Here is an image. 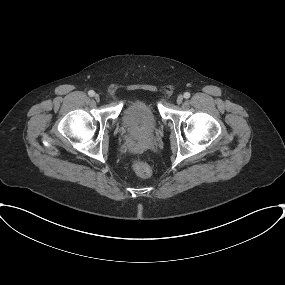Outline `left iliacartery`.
Segmentation results:
<instances>
[{"label":"left iliac artery","mask_w":285,"mask_h":285,"mask_svg":"<svg viewBox=\"0 0 285 285\" xmlns=\"http://www.w3.org/2000/svg\"><path fill=\"white\" fill-rule=\"evenodd\" d=\"M184 98H186V99L190 98V93L189 92H185L184 93Z\"/></svg>","instance_id":"44dca946"}]
</instances>
